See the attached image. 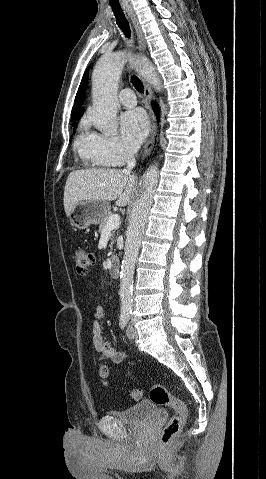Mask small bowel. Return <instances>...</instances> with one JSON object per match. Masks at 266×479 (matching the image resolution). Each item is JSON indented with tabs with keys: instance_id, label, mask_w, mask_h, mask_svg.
Instances as JSON below:
<instances>
[{
	"instance_id": "c3829d8e",
	"label": "small bowel",
	"mask_w": 266,
	"mask_h": 479,
	"mask_svg": "<svg viewBox=\"0 0 266 479\" xmlns=\"http://www.w3.org/2000/svg\"><path fill=\"white\" fill-rule=\"evenodd\" d=\"M104 309L98 306L93 315V345L95 350L102 356L110 359L113 363H120L126 357V352L116 349L111 342L104 338L103 330L99 321L104 317Z\"/></svg>"
}]
</instances>
